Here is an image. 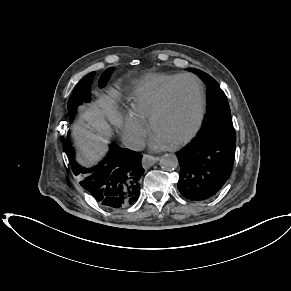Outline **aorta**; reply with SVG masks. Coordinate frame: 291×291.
<instances>
[{
    "instance_id": "1",
    "label": "aorta",
    "mask_w": 291,
    "mask_h": 291,
    "mask_svg": "<svg viewBox=\"0 0 291 291\" xmlns=\"http://www.w3.org/2000/svg\"><path fill=\"white\" fill-rule=\"evenodd\" d=\"M160 166L163 170H174L178 167V159L175 154L167 153L160 158Z\"/></svg>"
}]
</instances>
